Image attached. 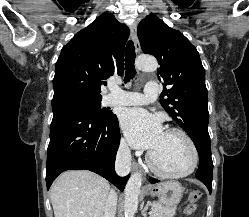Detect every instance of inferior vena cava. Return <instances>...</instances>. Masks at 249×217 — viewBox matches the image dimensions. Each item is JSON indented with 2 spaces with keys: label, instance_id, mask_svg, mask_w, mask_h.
I'll return each mask as SVG.
<instances>
[{
  "label": "inferior vena cava",
  "instance_id": "obj_1",
  "mask_svg": "<svg viewBox=\"0 0 249 217\" xmlns=\"http://www.w3.org/2000/svg\"><path fill=\"white\" fill-rule=\"evenodd\" d=\"M131 153L128 145L120 143L115 162V171L119 176H126L130 172ZM117 205V193L111 189L104 207L103 217H115Z\"/></svg>",
  "mask_w": 249,
  "mask_h": 217
}]
</instances>
